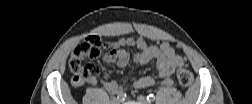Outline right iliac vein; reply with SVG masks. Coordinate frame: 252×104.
Returning a JSON list of instances; mask_svg holds the SVG:
<instances>
[{"instance_id":"1","label":"right iliac vein","mask_w":252,"mask_h":104,"mask_svg":"<svg viewBox=\"0 0 252 104\" xmlns=\"http://www.w3.org/2000/svg\"><path fill=\"white\" fill-rule=\"evenodd\" d=\"M111 102H112V104H119V100L116 99V98H115V99H112Z\"/></svg>"}]
</instances>
